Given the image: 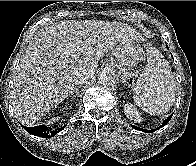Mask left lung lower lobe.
Masks as SVG:
<instances>
[{"mask_svg":"<svg viewBox=\"0 0 196 166\" xmlns=\"http://www.w3.org/2000/svg\"><path fill=\"white\" fill-rule=\"evenodd\" d=\"M168 48V47H167ZM172 118V115L171 116H169L163 123H162V125L159 127V128H161V127H163V126H165L169 121H170V119ZM132 126V125H131ZM133 128H135V129H138V127H136V126H132ZM159 128H157V129H159ZM141 131H143V132H154V131H156V129H153V130H151V131H147V130H144V129H140Z\"/></svg>","mask_w":196,"mask_h":166,"instance_id":"0a47b994","label":"left lung lower lobe"}]
</instances>
